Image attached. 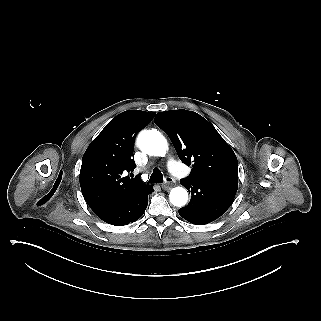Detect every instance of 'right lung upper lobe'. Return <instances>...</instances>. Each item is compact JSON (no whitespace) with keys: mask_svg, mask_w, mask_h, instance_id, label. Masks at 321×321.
Listing matches in <instances>:
<instances>
[{"mask_svg":"<svg viewBox=\"0 0 321 321\" xmlns=\"http://www.w3.org/2000/svg\"><path fill=\"white\" fill-rule=\"evenodd\" d=\"M155 113L128 110L113 118L88 146L82 158L80 186L93 211L121 202L145 188L140 177H124L133 171L136 134Z\"/></svg>","mask_w":321,"mask_h":321,"instance_id":"right-lung-upper-lobe-1","label":"right lung upper lobe"}]
</instances>
